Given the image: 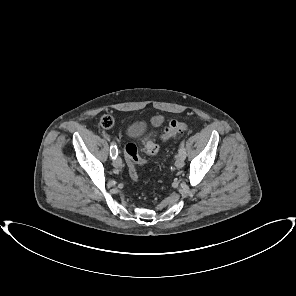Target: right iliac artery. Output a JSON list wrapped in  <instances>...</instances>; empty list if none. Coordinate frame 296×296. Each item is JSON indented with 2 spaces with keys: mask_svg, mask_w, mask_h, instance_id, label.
Here are the masks:
<instances>
[{
  "mask_svg": "<svg viewBox=\"0 0 296 296\" xmlns=\"http://www.w3.org/2000/svg\"><path fill=\"white\" fill-rule=\"evenodd\" d=\"M117 154H118L117 146L114 142H112L110 147V155L112 159H115L117 157Z\"/></svg>",
  "mask_w": 296,
  "mask_h": 296,
  "instance_id": "obj_1",
  "label": "right iliac artery"
}]
</instances>
